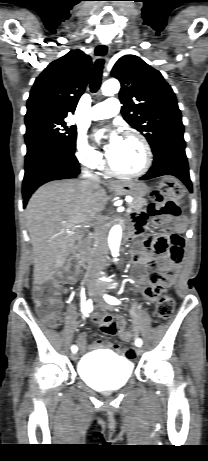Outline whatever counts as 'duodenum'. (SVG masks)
Here are the masks:
<instances>
[{
	"mask_svg": "<svg viewBox=\"0 0 208 461\" xmlns=\"http://www.w3.org/2000/svg\"><path fill=\"white\" fill-rule=\"evenodd\" d=\"M127 238L129 239L130 235ZM93 253L90 238L86 233H83L79 240V255L84 269L89 267Z\"/></svg>",
	"mask_w": 208,
	"mask_h": 461,
	"instance_id": "duodenum-1",
	"label": "duodenum"
}]
</instances>
